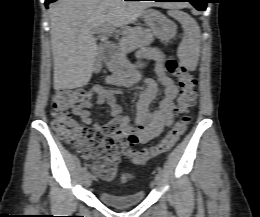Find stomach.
I'll list each match as a JSON object with an SVG mask.
<instances>
[{
    "instance_id": "0dacf381",
    "label": "stomach",
    "mask_w": 260,
    "mask_h": 217,
    "mask_svg": "<svg viewBox=\"0 0 260 217\" xmlns=\"http://www.w3.org/2000/svg\"><path fill=\"white\" fill-rule=\"evenodd\" d=\"M143 18L152 33L161 40H170L176 34V25L159 11L149 9L144 11ZM135 70V66L127 61H120L114 65V74L121 78H128Z\"/></svg>"
}]
</instances>
